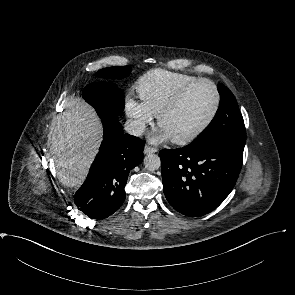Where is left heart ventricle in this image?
<instances>
[{
	"instance_id": "left-heart-ventricle-1",
	"label": "left heart ventricle",
	"mask_w": 295,
	"mask_h": 295,
	"mask_svg": "<svg viewBox=\"0 0 295 295\" xmlns=\"http://www.w3.org/2000/svg\"><path fill=\"white\" fill-rule=\"evenodd\" d=\"M216 103L212 87L206 83L195 86L179 107L167 115L161 128L172 139L187 137L197 131L211 116Z\"/></svg>"
}]
</instances>
